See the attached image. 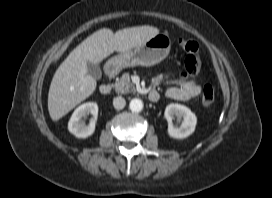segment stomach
I'll list each match as a JSON object with an SVG mask.
<instances>
[{"instance_id":"stomach-1","label":"stomach","mask_w":272,"mask_h":198,"mask_svg":"<svg viewBox=\"0 0 272 198\" xmlns=\"http://www.w3.org/2000/svg\"><path fill=\"white\" fill-rule=\"evenodd\" d=\"M171 39L167 34H158L133 50L121 52L110 58L105 69L108 72H119L134 66H153L164 60L169 54Z\"/></svg>"}]
</instances>
